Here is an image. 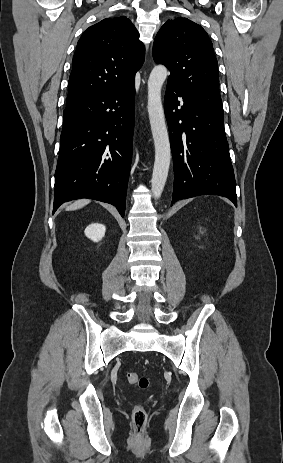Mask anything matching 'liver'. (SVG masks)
Masks as SVG:
<instances>
[{
  "mask_svg": "<svg viewBox=\"0 0 283 463\" xmlns=\"http://www.w3.org/2000/svg\"><path fill=\"white\" fill-rule=\"evenodd\" d=\"M89 203H90V200H88V199L77 200L73 204L67 206L66 210L67 211L77 210V209H80V208L84 207L85 205H87Z\"/></svg>",
  "mask_w": 283,
  "mask_h": 463,
  "instance_id": "liver-1",
  "label": "liver"
}]
</instances>
